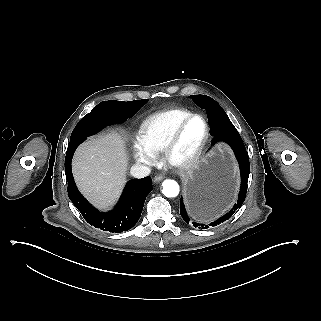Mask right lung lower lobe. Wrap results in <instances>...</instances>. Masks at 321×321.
<instances>
[{
	"mask_svg": "<svg viewBox=\"0 0 321 321\" xmlns=\"http://www.w3.org/2000/svg\"><path fill=\"white\" fill-rule=\"evenodd\" d=\"M140 108L130 102L108 101L96 109V115L107 126L125 121L137 113ZM87 137V135H83L71 139L68 144L65 157V174L69 198L84 219L95 228L112 233L127 231L140 218L145 199L152 191V179L147 176L128 181L116 207L107 213L99 212L80 194L71 170L73 154Z\"/></svg>",
	"mask_w": 321,
	"mask_h": 321,
	"instance_id": "right-lung-lower-lobe-1",
	"label": "right lung lower lobe"
}]
</instances>
